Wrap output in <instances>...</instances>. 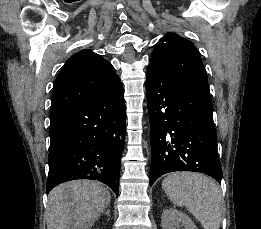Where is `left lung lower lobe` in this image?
Returning <instances> with one entry per match:
<instances>
[{"mask_svg":"<svg viewBox=\"0 0 261 229\" xmlns=\"http://www.w3.org/2000/svg\"><path fill=\"white\" fill-rule=\"evenodd\" d=\"M146 95L151 130L150 185L175 171L222 178L208 84L148 70Z\"/></svg>","mask_w":261,"mask_h":229,"instance_id":"1","label":"left lung lower lobe"}]
</instances>
